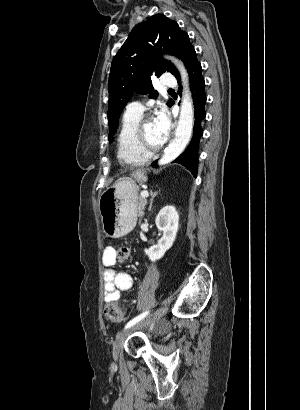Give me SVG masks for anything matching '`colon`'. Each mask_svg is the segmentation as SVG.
I'll list each match as a JSON object with an SVG mask.
<instances>
[{"label":"colon","mask_w":300,"mask_h":410,"mask_svg":"<svg viewBox=\"0 0 300 410\" xmlns=\"http://www.w3.org/2000/svg\"><path fill=\"white\" fill-rule=\"evenodd\" d=\"M115 258L119 262H125L129 258V248L119 246L115 249ZM105 315L114 322H119L123 319L122 309L117 304H109L105 307Z\"/></svg>","instance_id":"5ec220e1"}]
</instances>
